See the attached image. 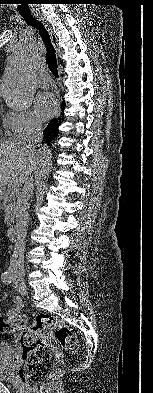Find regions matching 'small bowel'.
<instances>
[{"label": "small bowel", "instance_id": "1", "mask_svg": "<svg viewBox=\"0 0 153 393\" xmlns=\"http://www.w3.org/2000/svg\"><path fill=\"white\" fill-rule=\"evenodd\" d=\"M12 303H13V307H11L5 311L0 308V316H2L3 314H5L7 316H11V315L17 314L20 311V309L22 307L21 298L18 296L13 297ZM4 346H6V345H4Z\"/></svg>", "mask_w": 153, "mask_h": 393}]
</instances>
